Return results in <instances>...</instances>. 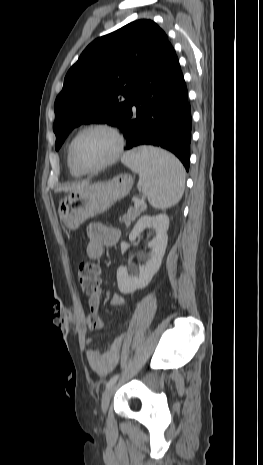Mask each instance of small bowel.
<instances>
[{
    "mask_svg": "<svg viewBox=\"0 0 263 465\" xmlns=\"http://www.w3.org/2000/svg\"><path fill=\"white\" fill-rule=\"evenodd\" d=\"M87 234L89 242L87 245V255L90 259H98L104 253V248L113 246L117 243L120 233L117 229L108 227L102 223L94 222L88 226ZM114 307H120L124 304V298L119 294H114L110 300ZM88 307L90 315L99 317L100 309V293L88 298ZM87 343L91 344L92 340L87 339ZM123 339L116 338L109 348L101 351L98 348H90L87 351V359L91 368L99 375L108 374L116 366L120 351L122 348Z\"/></svg>",
    "mask_w": 263,
    "mask_h": 465,
    "instance_id": "obj_1",
    "label": "small bowel"
}]
</instances>
